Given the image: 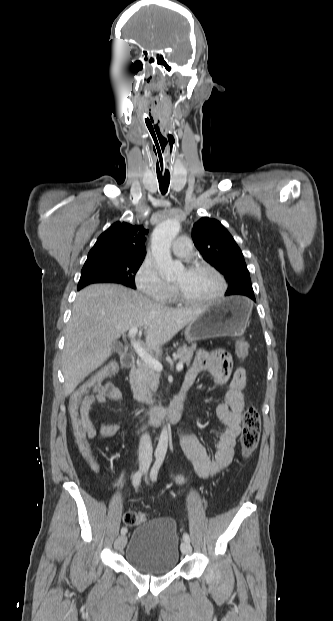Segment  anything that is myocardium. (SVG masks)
<instances>
[{"label": "myocardium", "mask_w": 333, "mask_h": 621, "mask_svg": "<svg viewBox=\"0 0 333 621\" xmlns=\"http://www.w3.org/2000/svg\"><path fill=\"white\" fill-rule=\"evenodd\" d=\"M187 271H200V270H207L210 271L211 273H213L217 279L219 280L220 283V289L219 291L211 298L209 299H204V300H196V299H191L189 297H187L186 295H184L179 289L178 287H176L175 285L173 286V293H174V297L177 301L187 304V305H192V306H202V305H210L213 304L219 300H221L227 291V282L225 277L223 276V274L217 269L215 268L213 265L208 264V263H203V262H195L191 265H189L186 269Z\"/></svg>", "instance_id": "f54148a6"}]
</instances>
